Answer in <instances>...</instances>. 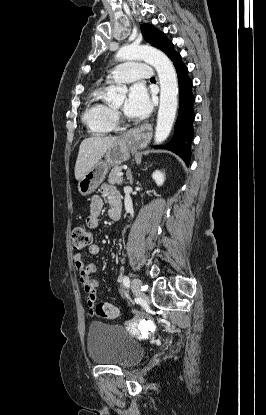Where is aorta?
<instances>
[{
	"label": "aorta",
	"mask_w": 266,
	"mask_h": 415,
	"mask_svg": "<svg viewBox=\"0 0 266 415\" xmlns=\"http://www.w3.org/2000/svg\"><path fill=\"white\" fill-rule=\"evenodd\" d=\"M116 57L120 60H144L152 65L160 81V105L155 129V143L160 144L169 136L178 106V81L172 62L161 51L144 45H126L119 49ZM126 87L111 86L107 92L108 101L124 99Z\"/></svg>",
	"instance_id": "obj_1"
}]
</instances>
